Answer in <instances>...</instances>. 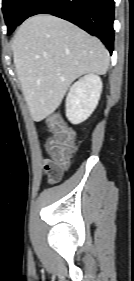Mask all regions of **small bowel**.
Masks as SVG:
<instances>
[{
	"mask_svg": "<svg viewBox=\"0 0 134 281\" xmlns=\"http://www.w3.org/2000/svg\"><path fill=\"white\" fill-rule=\"evenodd\" d=\"M44 173L51 183L59 182L65 170L61 168L53 159L44 158L42 159Z\"/></svg>",
	"mask_w": 134,
	"mask_h": 281,
	"instance_id": "small-bowel-1",
	"label": "small bowel"
}]
</instances>
